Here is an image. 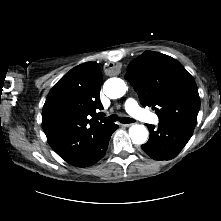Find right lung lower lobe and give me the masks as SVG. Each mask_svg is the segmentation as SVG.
I'll return each mask as SVG.
<instances>
[{"instance_id":"98d812e1","label":"right lung lower lobe","mask_w":221,"mask_h":221,"mask_svg":"<svg viewBox=\"0 0 221 221\" xmlns=\"http://www.w3.org/2000/svg\"><path fill=\"white\" fill-rule=\"evenodd\" d=\"M117 128L118 125L110 123L97 133L83 150L69 158L66 162L77 167H87L95 164L105 155L111 135Z\"/></svg>"}]
</instances>
